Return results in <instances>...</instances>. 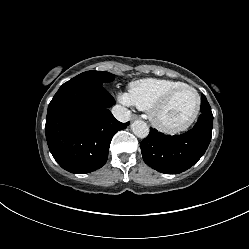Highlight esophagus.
<instances>
[{
  "label": "esophagus",
  "instance_id": "34e87169",
  "mask_svg": "<svg viewBox=\"0 0 249 249\" xmlns=\"http://www.w3.org/2000/svg\"><path fill=\"white\" fill-rule=\"evenodd\" d=\"M138 118H139L138 115H136V114L132 115V120H136Z\"/></svg>",
  "mask_w": 249,
  "mask_h": 249
}]
</instances>
